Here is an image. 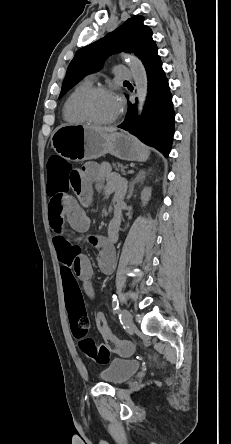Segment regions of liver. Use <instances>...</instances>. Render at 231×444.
<instances>
[{
  "label": "liver",
  "instance_id": "1",
  "mask_svg": "<svg viewBox=\"0 0 231 444\" xmlns=\"http://www.w3.org/2000/svg\"><path fill=\"white\" fill-rule=\"evenodd\" d=\"M99 133H105V134H111L114 133L116 131L115 128H111V127H98V126H87Z\"/></svg>",
  "mask_w": 231,
  "mask_h": 444
}]
</instances>
